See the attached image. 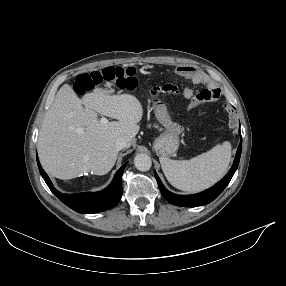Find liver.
Here are the masks:
<instances>
[{
  "label": "liver",
  "instance_id": "6515ba94",
  "mask_svg": "<svg viewBox=\"0 0 286 286\" xmlns=\"http://www.w3.org/2000/svg\"><path fill=\"white\" fill-rule=\"evenodd\" d=\"M97 113L118 121L102 124ZM142 116V104L133 95H112L98 88L79 99L65 84L39 132L40 162L47 173L59 179L90 172L105 175L116 162L117 140L126 139L129 147L139 132Z\"/></svg>",
  "mask_w": 286,
  "mask_h": 286
}]
</instances>
